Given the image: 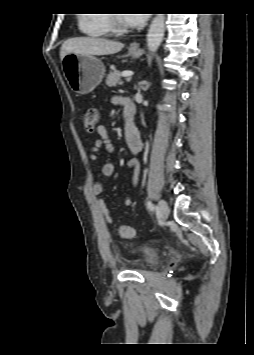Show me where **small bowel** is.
<instances>
[{"instance_id":"c3829d8e","label":"small bowel","mask_w":254,"mask_h":355,"mask_svg":"<svg viewBox=\"0 0 254 355\" xmlns=\"http://www.w3.org/2000/svg\"><path fill=\"white\" fill-rule=\"evenodd\" d=\"M127 101L130 102V105H133V103L129 99L116 98V102L122 105L124 108V115L127 112V106H126ZM134 114H135V106H134ZM96 134L98 135V139L94 141L91 147L90 158L92 161H96L98 159L99 152L102 149H104L109 153H112L114 151V146L111 140L109 139L108 131L105 126L103 125L98 126L96 129ZM125 140L129 150L134 155V157H132L128 161V167L132 171L131 185L135 187L139 180V171H140V163L135 156L139 154L140 151L142 150L141 137L137 128H135L131 132H127L125 130ZM114 171H115L114 164L112 162H107L101 167L100 174L103 177H110L114 174ZM103 190H104L103 183L100 178H97L92 184L91 192L95 197H97L98 208L102 216L106 220V222L109 224H113L114 219L111 213V209L107 204L106 198L103 195ZM124 203L126 206H130L132 204L131 198L126 197L124 199Z\"/></svg>"}]
</instances>
